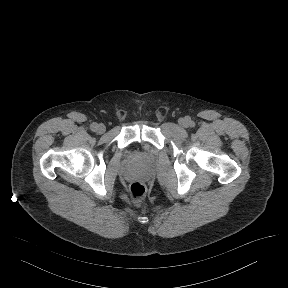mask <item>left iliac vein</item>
Here are the masks:
<instances>
[{"label": "left iliac vein", "mask_w": 288, "mask_h": 288, "mask_svg": "<svg viewBox=\"0 0 288 288\" xmlns=\"http://www.w3.org/2000/svg\"><path fill=\"white\" fill-rule=\"evenodd\" d=\"M178 122L182 127H188L189 126V121L187 118H180L178 120Z\"/></svg>", "instance_id": "obj_1"}]
</instances>
